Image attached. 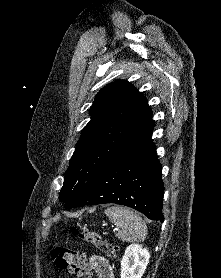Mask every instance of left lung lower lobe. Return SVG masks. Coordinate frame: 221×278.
Segmentation results:
<instances>
[{"label":"left lung lower lobe","instance_id":"0a47b994","mask_svg":"<svg viewBox=\"0 0 221 278\" xmlns=\"http://www.w3.org/2000/svg\"><path fill=\"white\" fill-rule=\"evenodd\" d=\"M153 127L121 150L74 207L115 203L164 221L162 167L152 142Z\"/></svg>","mask_w":221,"mask_h":278}]
</instances>
